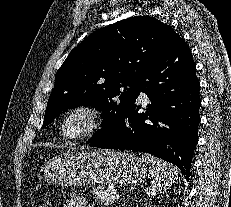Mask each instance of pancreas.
<instances>
[{
    "label": "pancreas",
    "instance_id": "1",
    "mask_svg": "<svg viewBox=\"0 0 231 207\" xmlns=\"http://www.w3.org/2000/svg\"><path fill=\"white\" fill-rule=\"evenodd\" d=\"M93 193L99 202L105 206H108L117 200V192L114 189H108L103 186L93 187Z\"/></svg>",
    "mask_w": 231,
    "mask_h": 207
}]
</instances>
